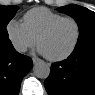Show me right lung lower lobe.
<instances>
[{
    "label": "right lung lower lobe",
    "instance_id": "98d812e1",
    "mask_svg": "<svg viewBox=\"0 0 95 95\" xmlns=\"http://www.w3.org/2000/svg\"><path fill=\"white\" fill-rule=\"evenodd\" d=\"M32 60L19 54L11 42L0 43V95H17Z\"/></svg>",
    "mask_w": 95,
    "mask_h": 95
}]
</instances>
